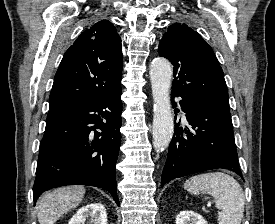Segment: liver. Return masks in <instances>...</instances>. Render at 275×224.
<instances>
[{
	"instance_id": "1",
	"label": "liver",
	"mask_w": 275,
	"mask_h": 224,
	"mask_svg": "<svg viewBox=\"0 0 275 224\" xmlns=\"http://www.w3.org/2000/svg\"><path fill=\"white\" fill-rule=\"evenodd\" d=\"M85 188L80 185L60 187L43 194L37 202L40 224H54L60 217L77 207L83 200Z\"/></svg>"
}]
</instances>
